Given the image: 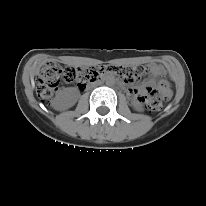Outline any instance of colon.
Wrapping results in <instances>:
<instances>
[{"label": "colon", "instance_id": "obj_1", "mask_svg": "<svg viewBox=\"0 0 206 206\" xmlns=\"http://www.w3.org/2000/svg\"><path fill=\"white\" fill-rule=\"evenodd\" d=\"M105 72L116 74L127 82H133L140 79L146 73V69L142 66L135 68L111 66L102 69L73 66L63 68L56 63H46L37 74V94L43 103L48 104L61 81L75 83L84 89L88 83L96 81L100 74ZM146 92L147 94L140 99L151 111H159L162 100L171 96L169 85L164 81L159 86L149 85Z\"/></svg>", "mask_w": 206, "mask_h": 206}]
</instances>
